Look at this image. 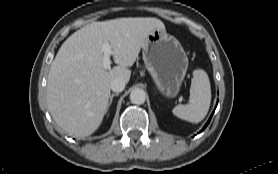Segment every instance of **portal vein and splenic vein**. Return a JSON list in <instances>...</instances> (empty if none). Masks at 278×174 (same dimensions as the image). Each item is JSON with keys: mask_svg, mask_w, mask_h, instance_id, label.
Returning a JSON list of instances; mask_svg holds the SVG:
<instances>
[{"mask_svg": "<svg viewBox=\"0 0 278 174\" xmlns=\"http://www.w3.org/2000/svg\"><path fill=\"white\" fill-rule=\"evenodd\" d=\"M102 50L104 52V57L102 60V64H103V68L104 69H110V64H111V60L110 57L113 54V51L111 49V46L109 45V43H105L102 45Z\"/></svg>", "mask_w": 278, "mask_h": 174, "instance_id": "18ae733b", "label": "portal vein and splenic vein"}]
</instances>
